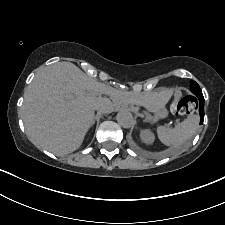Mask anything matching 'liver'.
Wrapping results in <instances>:
<instances>
[{
    "label": "liver",
    "instance_id": "liver-1",
    "mask_svg": "<svg viewBox=\"0 0 225 225\" xmlns=\"http://www.w3.org/2000/svg\"><path fill=\"white\" fill-rule=\"evenodd\" d=\"M111 96L113 102L102 95ZM72 95L71 99L66 96ZM149 95L120 91L87 76L70 62L40 68L25 89L22 120L28 139L57 156L77 150L94 121L96 107L144 105Z\"/></svg>",
    "mask_w": 225,
    "mask_h": 225
}]
</instances>
